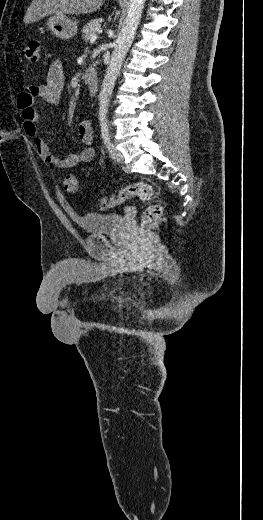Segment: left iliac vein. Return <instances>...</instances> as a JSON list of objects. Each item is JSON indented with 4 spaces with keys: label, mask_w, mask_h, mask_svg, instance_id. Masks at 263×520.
Here are the masks:
<instances>
[{
    "label": "left iliac vein",
    "mask_w": 263,
    "mask_h": 520,
    "mask_svg": "<svg viewBox=\"0 0 263 520\" xmlns=\"http://www.w3.org/2000/svg\"><path fill=\"white\" fill-rule=\"evenodd\" d=\"M108 150H109L110 157L114 161L123 162L124 158H123L122 153L120 151H118L112 143L109 144Z\"/></svg>",
    "instance_id": "1"
}]
</instances>
